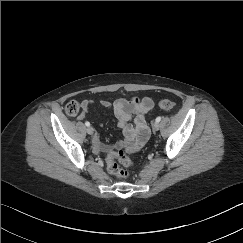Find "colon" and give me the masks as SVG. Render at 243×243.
<instances>
[{"mask_svg":"<svg viewBox=\"0 0 243 243\" xmlns=\"http://www.w3.org/2000/svg\"><path fill=\"white\" fill-rule=\"evenodd\" d=\"M159 107L165 110H172L176 108V103L170 99H162L159 101ZM79 111L80 104L77 101L72 100L65 105V113L68 116L74 117L79 113ZM116 161H119L125 166H129L131 164L130 158L122 150L110 153L107 158L108 170L118 177L126 178L129 174L128 171L120 168Z\"/></svg>","mask_w":243,"mask_h":243,"instance_id":"colon-1","label":"colon"}]
</instances>
